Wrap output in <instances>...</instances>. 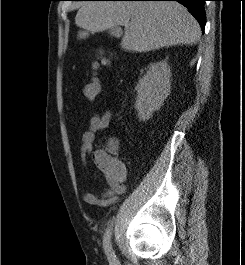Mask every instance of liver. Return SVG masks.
<instances>
[{
    "label": "liver",
    "instance_id": "liver-1",
    "mask_svg": "<svg viewBox=\"0 0 245 265\" xmlns=\"http://www.w3.org/2000/svg\"><path fill=\"white\" fill-rule=\"evenodd\" d=\"M75 24L83 28L79 39L122 25L121 47L126 51L148 52L200 41L201 28L188 10L174 1H86Z\"/></svg>",
    "mask_w": 245,
    "mask_h": 265
}]
</instances>
